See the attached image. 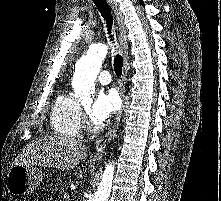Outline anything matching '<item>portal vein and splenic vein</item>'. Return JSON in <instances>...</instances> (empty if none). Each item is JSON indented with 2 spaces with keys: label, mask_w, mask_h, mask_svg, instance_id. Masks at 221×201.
<instances>
[{
  "label": "portal vein and splenic vein",
  "mask_w": 221,
  "mask_h": 201,
  "mask_svg": "<svg viewBox=\"0 0 221 201\" xmlns=\"http://www.w3.org/2000/svg\"><path fill=\"white\" fill-rule=\"evenodd\" d=\"M64 197H65V198H68V197H69V195H68L67 193H65Z\"/></svg>",
  "instance_id": "portal-vein-and-splenic-vein-1"
}]
</instances>
